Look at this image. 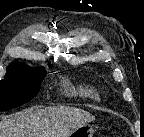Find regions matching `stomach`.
<instances>
[{
  "label": "stomach",
  "instance_id": "1",
  "mask_svg": "<svg viewBox=\"0 0 144 137\" xmlns=\"http://www.w3.org/2000/svg\"><path fill=\"white\" fill-rule=\"evenodd\" d=\"M95 130L92 126L84 124L74 129L68 137H93Z\"/></svg>",
  "mask_w": 144,
  "mask_h": 137
}]
</instances>
